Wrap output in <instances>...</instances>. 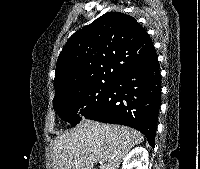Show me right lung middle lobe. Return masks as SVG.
<instances>
[{
  "label": "right lung middle lobe",
  "mask_w": 200,
  "mask_h": 169,
  "mask_svg": "<svg viewBox=\"0 0 200 169\" xmlns=\"http://www.w3.org/2000/svg\"><path fill=\"white\" fill-rule=\"evenodd\" d=\"M115 81L114 78L100 79L73 94L56 99L54 110L60 118L75 126L103 105Z\"/></svg>",
  "instance_id": "obj_1"
}]
</instances>
